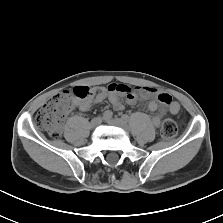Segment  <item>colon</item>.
<instances>
[{
    "instance_id": "colon-1",
    "label": "colon",
    "mask_w": 223,
    "mask_h": 223,
    "mask_svg": "<svg viewBox=\"0 0 223 223\" xmlns=\"http://www.w3.org/2000/svg\"><path fill=\"white\" fill-rule=\"evenodd\" d=\"M92 90L88 86H77L72 91L64 90L52 96L35 115L36 126L48 137L58 140L62 135L63 123L76 99H88ZM177 134V124L173 119H165L161 125V135L172 140Z\"/></svg>"
}]
</instances>
